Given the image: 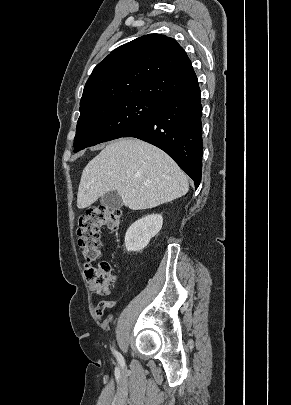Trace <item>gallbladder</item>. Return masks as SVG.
<instances>
[{
  "label": "gallbladder",
  "instance_id": "gallbladder-1",
  "mask_svg": "<svg viewBox=\"0 0 291 405\" xmlns=\"http://www.w3.org/2000/svg\"><path fill=\"white\" fill-rule=\"evenodd\" d=\"M101 203L111 210H118L122 207L123 202L117 191H110L101 197Z\"/></svg>",
  "mask_w": 291,
  "mask_h": 405
}]
</instances>
